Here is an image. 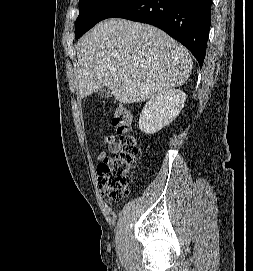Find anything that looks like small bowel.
I'll list each match as a JSON object with an SVG mask.
<instances>
[{
    "mask_svg": "<svg viewBox=\"0 0 253 271\" xmlns=\"http://www.w3.org/2000/svg\"><path fill=\"white\" fill-rule=\"evenodd\" d=\"M105 142L108 144L110 150L117 151L119 149V146L116 144L113 136L106 137Z\"/></svg>",
    "mask_w": 253,
    "mask_h": 271,
    "instance_id": "small-bowel-1",
    "label": "small bowel"
}]
</instances>
